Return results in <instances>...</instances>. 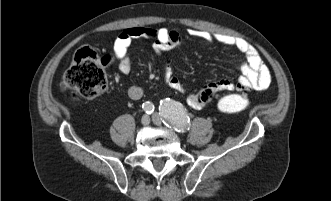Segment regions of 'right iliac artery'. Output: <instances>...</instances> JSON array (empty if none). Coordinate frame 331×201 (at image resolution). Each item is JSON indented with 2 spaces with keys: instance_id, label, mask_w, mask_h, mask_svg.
Instances as JSON below:
<instances>
[{
  "instance_id": "82829eb1",
  "label": "right iliac artery",
  "mask_w": 331,
  "mask_h": 201,
  "mask_svg": "<svg viewBox=\"0 0 331 201\" xmlns=\"http://www.w3.org/2000/svg\"><path fill=\"white\" fill-rule=\"evenodd\" d=\"M142 108L147 114H151L154 112V105L149 101L143 103Z\"/></svg>"
}]
</instances>
